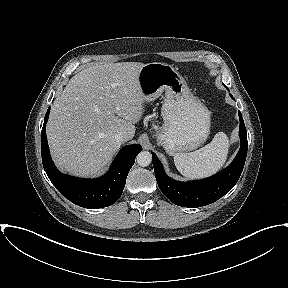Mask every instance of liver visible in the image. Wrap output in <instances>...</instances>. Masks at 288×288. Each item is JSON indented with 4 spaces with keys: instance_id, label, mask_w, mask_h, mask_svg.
I'll list each match as a JSON object with an SVG mask.
<instances>
[{
    "instance_id": "obj_1",
    "label": "liver",
    "mask_w": 288,
    "mask_h": 288,
    "mask_svg": "<svg viewBox=\"0 0 288 288\" xmlns=\"http://www.w3.org/2000/svg\"><path fill=\"white\" fill-rule=\"evenodd\" d=\"M145 64L119 62L86 68L54 100L47 123L51 156L63 171L90 176L119 150V132L134 137L144 112L138 73Z\"/></svg>"
}]
</instances>
